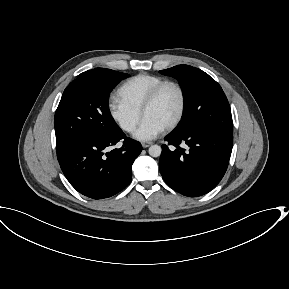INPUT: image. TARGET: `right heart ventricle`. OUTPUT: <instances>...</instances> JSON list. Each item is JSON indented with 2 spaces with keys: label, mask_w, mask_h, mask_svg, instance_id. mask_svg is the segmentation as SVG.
Listing matches in <instances>:
<instances>
[{
  "label": "right heart ventricle",
  "mask_w": 289,
  "mask_h": 289,
  "mask_svg": "<svg viewBox=\"0 0 289 289\" xmlns=\"http://www.w3.org/2000/svg\"><path fill=\"white\" fill-rule=\"evenodd\" d=\"M165 81L161 76L152 74H138L126 80L117 90L120 101L129 107L141 112L142 105L151 92L159 83Z\"/></svg>",
  "instance_id": "obj_1"
}]
</instances>
